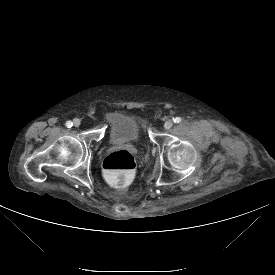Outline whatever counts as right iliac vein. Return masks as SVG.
Listing matches in <instances>:
<instances>
[{"label":"right iliac vein","mask_w":275,"mask_h":275,"mask_svg":"<svg viewBox=\"0 0 275 275\" xmlns=\"http://www.w3.org/2000/svg\"><path fill=\"white\" fill-rule=\"evenodd\" d=\"M73 124H74V126L75 127H79L80 126V124H81V121H80V119H74V121H73Z\"/></svg>","instance_id":"obj_1"}]
</instances>
